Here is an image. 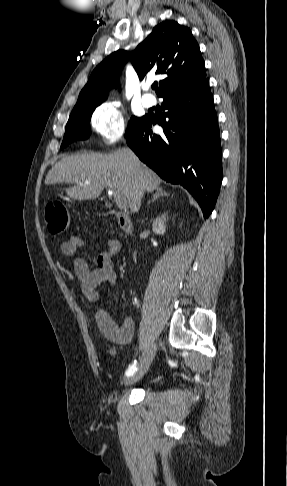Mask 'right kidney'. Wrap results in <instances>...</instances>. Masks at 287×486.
I'll use <instances>...</instances> for the list:
<instances>
[{"label": "right kidney", "mask_w": 287, "mask_h": 486, "mask_svg": "<svg viewBox=\"0 0 287 486\" xmlns=\"http://www.w3.org/2000/svg\"><path fill=\"white\" fill-rule=\"evenodd\" d=\"M166 213L162 214L161 216L157 217L152 224V230L156 234H164L166 231Z\"/></svg>", "instance_id": "obj_1"}]
</instances>
